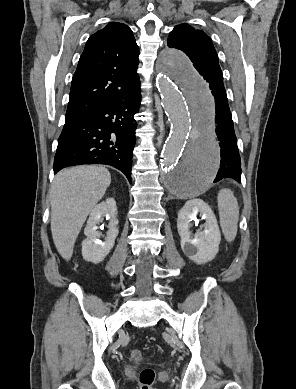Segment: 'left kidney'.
Listing matches in <instances>:
<instances>
[{"mask_svg": "<svg viewBox=\"0 0 296 389\" xmlns=\"http://www.w3.org/2000/svg\"><path fill=\"white\" fill-rule=\"evenodd\" d=\"M200 214L205 220L204 230L191 236V221L197 220ZM177 229L181 237V248L184 254L197 264L213 260L219 251L221 234L214 212L201 199L189 200L178 213Z\"/></svg>", "mask_w": 296, "mask_h": 389, "instance_id": "obj_1", "label": "left kidney"}]
</instances>
